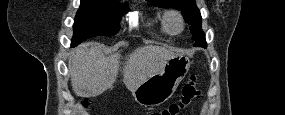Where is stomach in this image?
<instances>
[{
    "mask_svg": "<svg viewBox=\"0 0 285 115\" xmlns=\"http://www.w3.org/2000/svg\"><path fill=\"white\" fill-rule=\"evenodd\" d=\"M190 67L185 55H177L167 61L163 69L140 84L132 95L144 107H155L166 102L176 91Z\"/></svg>",
    "mask_w": 285,
    "mask_h": 115,
    "instance_id": "1",
    "label": "stomach"
}]
</instances>
